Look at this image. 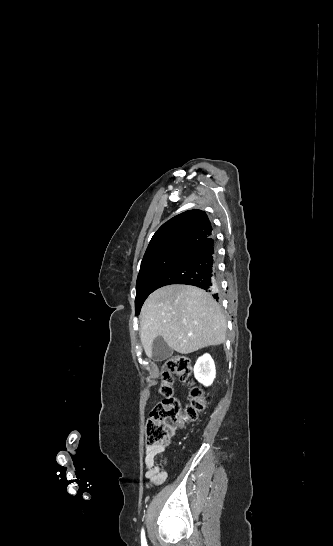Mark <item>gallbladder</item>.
<instances>
[{
	"mask_svg": "<svg viewBox=\"0 0 333 546\" xmlns=\"http://www.w3.org/2000/svg\"><path fill=\"white\" fill-rule=\"evenodd\" d=\"M173 354V349H171L164 341L162 336H158L152 345V359L154 361H163Z\"/></svg>",
	"mask_w": 333,
	"mask_h": 546,
	"instance_id": "bac80fb5",
	"label": "gallbladder"
}]
</instances>
